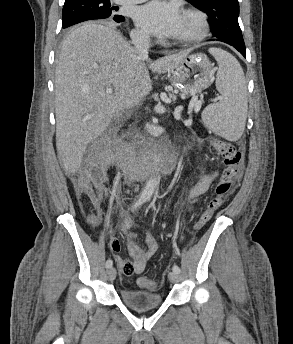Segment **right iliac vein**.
Wrapping results in <instances>:
<instances>
[{
  "label": "right iliac vein",
  "instance_id": "1",
  "mask_svg": "<svg viewBox=\"0 0 293 344\" xmlns=\"http://www.w3.org/2000/svg\"><path fill=\"white\" fill-rule=\"evenodd\" d=\"M107 277H108V280L109 281H113L116 277V270L114 267H110L108 270H107Z\"/></svg>",
  "mask_w": 293,
  "mask_h": 344
}]
</instances>
